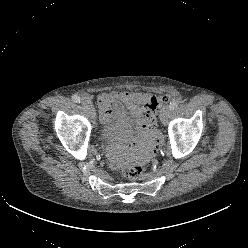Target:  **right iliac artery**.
Masks as SVG:
<instances>
[{"label":"right iliac artery","instance_id":"obj_1","mask_svg":"<svg viewBox=\"0 0 248 248\" xmlns=\"http://www.w3.org/2000/svg\"><path fill=\"white\" fill-rule=\"evenodd\" d=\"M72 100H73L75 103H80L81 98H80L78 95H73V96H72Z\"/></svg>","mask_w":248,"mask_h":248}]
</instances>
